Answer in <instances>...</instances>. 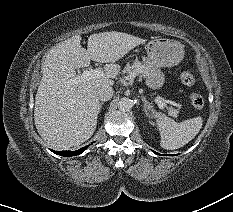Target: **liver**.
I'll return each instance as SVG.
<instances>
[{
    "label": "liver",
    "mask_w": 233,
    "mask_h": 212,
    "mask_svg": "<svg viewBox=\"0 0 233 212\" xmlns=\"http://www.w3.org/2000/svg\"><path fill=\"white\" fill-rule=\"evenodd\" d=\"M76 35L49 50L42 65V79L35 97L34 121L39 135L54 149L77 147L94 133L100 112L95 91L101 85L112 86L119 73L114 63L145 39L116 31L92 34L87 50ZM110 63L103 75L69 85L75 69L90 61Z\"/></svg>",
    "instance_id": "liver-1"
}]
</instances>
